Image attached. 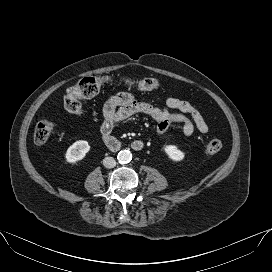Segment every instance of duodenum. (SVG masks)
I'll return each mask as SVG.
<instances>
[{"mask_svg":"<svg viewBox=\"0 0 272 272\" xmlns=\"http://www.w3.org/2000/svg\"><path fill=\"white\" fill-rule=\"evenodd\" d=\"M102 139L105 143V145L112 151H118L120 150L121 148V143L120 141L111 136L110 134H105V135H102ZM131 148L134 150V151H142L144 148H145V142L141 139H138V140H134L132 143H131Z\"/></svg>","mask_w":272,"mask_h":272,"instance_id":"410a0bca","label":"duodenum"}]
</instances>
